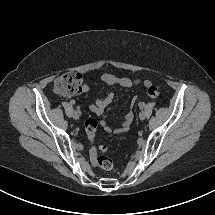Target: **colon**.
Returning <instances> with one entry per match:
<instances>
[{
	"instance_id": "obj_1",
	"label": "colon",
	"mask_w": 215,
	"mask_h": 215,
	"mask_svg": "<svg viewBox=\"0 0 215 215\" xmlns=\"http://www.w3.org/2000/svg\"><path fill=\"white\" fill-rule=\"evenodd\" d=\"M55 90L60 94H77L83 91V79L81 74L77 72H65L55 81ZM150 98H157L161 92V86L158 83L149 84L146 89ZM98 126L96 119H89L85 124L86 134L91 142L95 141V132ZM99 150L104 153L107 148L103 145L99 146ZM90 161L93 167L104 171L113 169V161L104 154H98L96 147H92L89 151Z\"/></svg>"
}]
</instances>
